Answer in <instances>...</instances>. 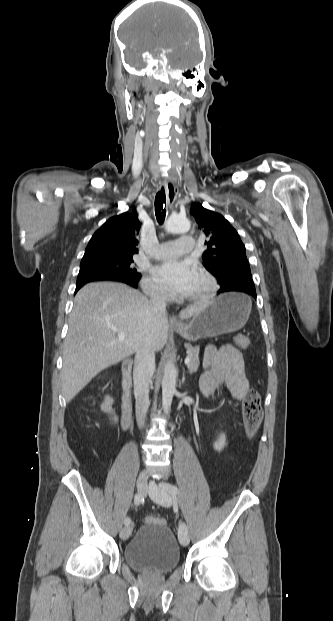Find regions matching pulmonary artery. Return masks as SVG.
Instances as JSON below:
<instances>
[{
  "instance_id": "obj_1",
  "label": "pulmonary artery",
  "mask_w": 333,
  "mask_h": 621,
  "mask_svg": "<svg viewBox=\"0 0 333 621\" xmlns=\"http://www.w3.org/2000/svg\"><path fill=\"white\" fill-rule=\"evenodd\" d=\"M194 248V239L191 236L184 235L176 241L160 243L154 249L152 257L156 259H170L184 253L192 252Z\"/></svg>"
}]
</instances>
